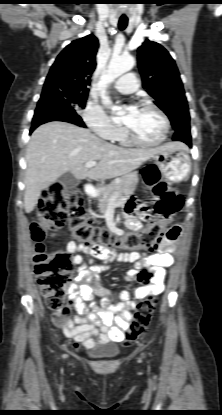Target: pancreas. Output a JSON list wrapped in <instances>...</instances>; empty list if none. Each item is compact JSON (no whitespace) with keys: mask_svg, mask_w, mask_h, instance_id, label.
Listing matches in <instances>:
<instances>
[{"mask_svg":"<svg viewBox=\"0 0 222 415\" xmlns=\"http://www.w3.org/2000/svg\"><path fill=\"white\" fill-rule=\"evenodd\" d=\"M138 181L137 173H130L122 178H118L112 181L107 188L103 191L102 196L99 198L98 208L100 212L104 214L108 209L112 197H115L114 203H118L123 198L129 197L133 194L134 185Z\"/></svg>","mask_w":222,"mask_h":415,"instance_id":"pancreas-1","label":"pancreas"}]
</instances>
